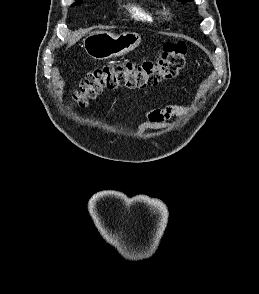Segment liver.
<instances>
[{
	"label": "liver",
	"instance_id": "obj_1",
	"mask_svg": "<svg viewBox=\"0 0 259 294\" xmlns=\"http://www.w3.org/2000/svg\"><path fill=\"white\" fill-rule=\"evenodd\" d=\"M85 33H86L85 30H78L73 32V34L70 36V39L68 41L69 46L75 44Z\"/></svg>",
	"mask_w": 259,
	"mask_h": 294
}]
</instances>
